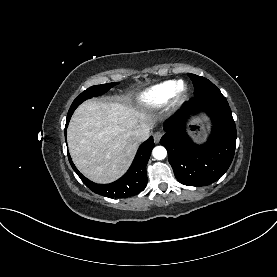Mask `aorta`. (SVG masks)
Instances as JSON below:
<instances>
[{"instance_id":"762f6f07","label":"aorta","mask_w":277,"mask_h":277,"mask_svg":"<svg viewBox=\"0 0 277 277\" xmlns=\"http://www.w3.org/2000/svg\"><path fill=\"white\" fill-rule=\"evenodd\" d=\"M153 157L162 160L167 156V151L163 146H156L152 151Z\"/></svg>"}]
</instances>
